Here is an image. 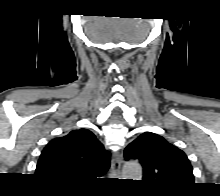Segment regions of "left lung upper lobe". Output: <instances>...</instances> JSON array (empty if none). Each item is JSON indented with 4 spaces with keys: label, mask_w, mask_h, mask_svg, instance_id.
Here are the masks:
<instances>
[{
    "label": "left lung upper lobe",
    "mask_w": 220,
    "mask_h": 196,
    "mask_svg": "<svg viewBox=\"0 0 220 196\" xmlns=\"http://www.w3.org/2000/svg\"><path fill=\"white\" fill-rule=\"evenodd\" d=\"M125 159H138L144 182L162 193H179L194 183L191 164L183 151L152 132L141 134L124 151Z\"/></svg>",
    "instance_id": "left-lung-upper-lobe-1"
}]
</instances>
